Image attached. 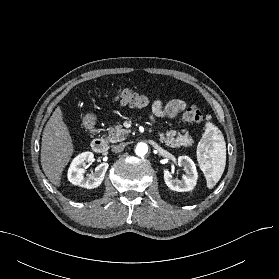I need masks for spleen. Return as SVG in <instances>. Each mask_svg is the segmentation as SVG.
Returning <instances> with one entry per match:
<instances>
[{
	"instance_id": "spleen-1",
	"label": "spleen",
	"mask_w": 279,
	"mask_h": 279,
	"mask_svg": "<svg viewBox=\"0 0 279 279\" xmlns=\"http://www.w3.org/2000/svg\"><path fill=\"white\" fill-rule=\"evenodd\" d=\"M197 159L207 187L212 189L225 169L226 143L222 132L211 122L205 124V132L198 144Z\"/></svg>"
}]
</instances>
